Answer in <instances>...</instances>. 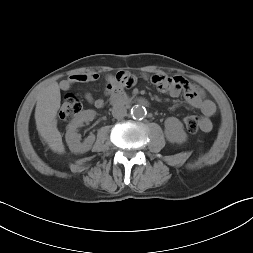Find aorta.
<instances>
[{
  "mask_svg": "<svg viewBox=\"0 0 253 253\" xmlns=\"http://www.w3.org/2000/svg\"><path fill=\"white\" fill-rule=\"evenodd\" d=\"M131 115L135 119H141L146 115V109L141 105H135L131 109Z\"/></svg>",
  "mask_w": 253,
  "mask_h": 253,
  "instance_id": "aorta-1",
  "label": "aorta"
}]
</instances>
